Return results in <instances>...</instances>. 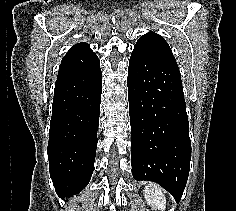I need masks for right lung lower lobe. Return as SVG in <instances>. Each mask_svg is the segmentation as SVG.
I'll use <instances>...</instances> for the list:
<instances>
[{
  "mask_svg": "<svg viewBox=\"0 0 236 211\" xmlns=\"http://www.w3.org/2000/svg\"><path fill=\"white\" fill-rule=\"evenodd\" d=\"M101 76L99 67L55 83L47 152L50 176L61 198L85 188L94 170Z\"/></svg>",
  "mask_w": 236,
  "mask_h": 211,
  "instance_id": "right-lung-lower-lobe-1",
  "label": "right lung lower lobe"
}]
</instances>
